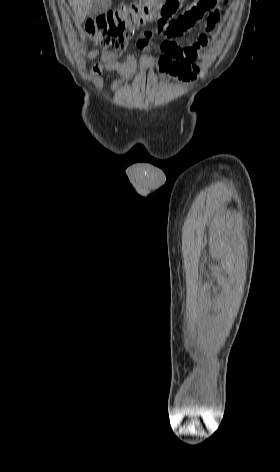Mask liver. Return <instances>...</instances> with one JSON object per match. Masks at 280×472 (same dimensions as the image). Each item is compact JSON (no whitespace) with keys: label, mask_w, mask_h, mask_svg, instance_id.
I'll use <instances>...</instances> for the list:
<instances>
[{"label":"liver","mask_w":280,"mask_h":472,"mask_svg":"<svg viewBox=\"0 0 280 472\" xmlns=\"http://www.w3.org/2000/svg\"><path fill=\"white\" fill-rule=\"evenodd\" d=\"M75 14V24L80 25L90 14L93 0H68Z\"/></svg>","instance_id":"6515ba94"}]
</instances>
